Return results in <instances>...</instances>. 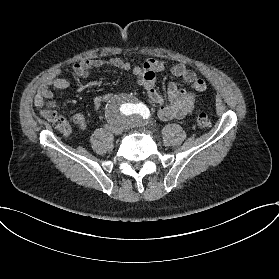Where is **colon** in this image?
I'll list each match as a JSON object with an SVG mask.
<instances>
[{"label": "colon", "instance_id": "obj_1", "mask_svg": "<svg viewBox=\"0 0 279 279\" xmlns=\"http://www.w3.org/2000/svg\"><path fill=\"white\" fill-rule=\"evenodd\" d=\"M40 118L52 123V125L57 128L64 135L71 134L70 122L73 119L68 112H55V111H44L40 113ZM210 125L209 116L206 113H199L196 117V126L200 130L207 129Z\"/></svg>", "mask_w": 279, "mask_h": 279}]
</instances>
